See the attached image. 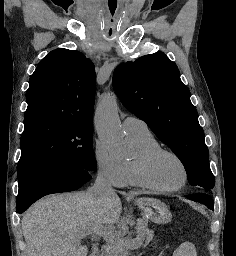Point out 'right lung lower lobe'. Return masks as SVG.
<instances>
[{"label": "right lung lower lobe", "mask_w": 236, "mask_h": 256, "mask_svg": "<svg viewBox=\"0 0 236 256\" xmlns=\"http://www.w3.org/2000/svg\"><path fill=\"white\" fill-rule=\"evenodd\" d=\"M90 178L88 172L74 167L33 175L19 184L16 211L23 213L45 195L76 190Z\"/></svg>", "instance_id": "1"}]
</instances>
